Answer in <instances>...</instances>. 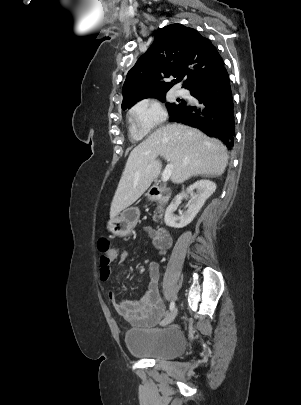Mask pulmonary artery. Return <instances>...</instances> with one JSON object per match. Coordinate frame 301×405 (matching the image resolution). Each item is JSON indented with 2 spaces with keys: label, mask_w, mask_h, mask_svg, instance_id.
Instances as JSON below:
<instances>
[{
  "label": "pulmonary artery",
  "mask_w": 301,
  "mask_h": 405,
  "mask_svg": "<svg viewBox=\"0 0 301 405\" xmlns=\"http://www.w3.org/2000/svg\"><path fill=\"white\" fill-rule=\"evenodd\" d=\"M179 94H184L185 92L183 90L178 91Z\"/></svg>",
  "instance_id": "e3ab8cb5"
}]
</instances>
